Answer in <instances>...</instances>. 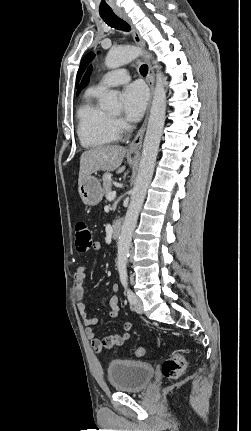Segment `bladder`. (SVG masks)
Masks as SVG:
<instances>
[{"instance_id":"31cf9c89","label":"bladder","mask_w":251,"mask_h":431,"mask_svg":"<svg viewBox=\"0 0 251 431\" xmlns=\"http://www.w3.org/2000/svg\"><path fill=\"white\" fill-rule=\"evenodd\" d=\"M154 368L142 361L113 360L107 367L111 387L119 392H139L151 382Z\"/></svg>"}]
</instances>
